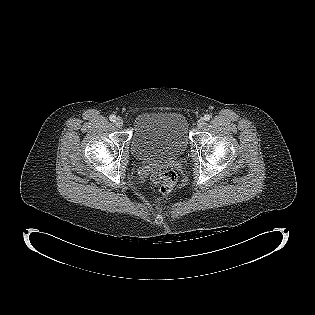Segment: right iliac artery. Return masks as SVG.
<instances>
[{"instance_id":"1","label":"right iliac artery","mask_w":315,"mask_h":315,"mask_svg":"<svg viewBox=\"0 0 315 315\" xmlns=\"http://www.w3.org/2000/svg\"><path fill=\"white\" fill-rule=\"evenodd\" d=\"M109 119H110V121L114 122L116 120V116L115 115H110Z\"/></svg>"}]
</instances>
